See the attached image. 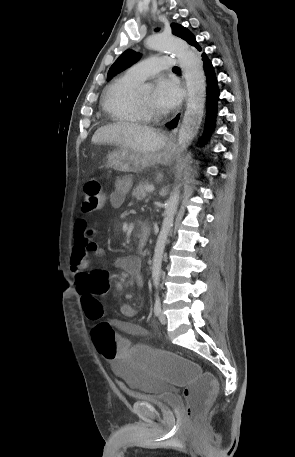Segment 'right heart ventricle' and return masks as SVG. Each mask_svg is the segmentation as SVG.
<instances>
[{
  "instance_id": "1",
  "label": "right heart ventricle",
  "mask_w": 295,
  "mask_h": 457,
  "mask_svg": "<svg viewBox=\"0 0 295 457\" xmlns=\"http://www.w3.org/2000/svg\"><path fill=\"white\" fill-rule=\"evenodd\" d=\"M138 84V81L123 75L106 87L102 105L113 121L128 124H139L146 121V116L138 109L132 95Z\"/></svg>"
}]
</instances>
